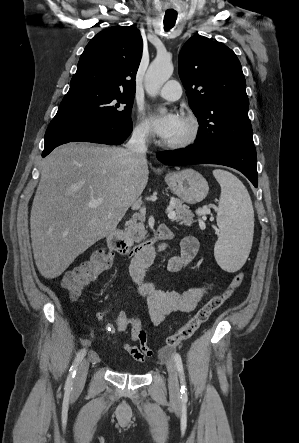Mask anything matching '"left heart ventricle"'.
Masks as SVG:
<instances>
[{
  "mask_svg": "<svg viewBox=\"0 0 299 443\" xmlns=\"http://www.w3.org/2000/svg\"><path fill=\"white\" fill-rule=\"evenodd\" d=\"M187 132H188V127H187L186 123L181 119V122H180V125H179L178 129L167 140L168 141H173V140L181 139V138H183L187 134Z\"/></svg>",
  "mask_w": 299,
  "mask_h": 443,
  "instance_id": "left-heart-ventricle-1",
  "label": "left heart ventricle"
}]
</instances>
